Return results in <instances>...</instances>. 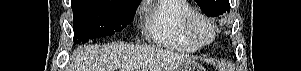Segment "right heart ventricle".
I'll list each match as a JSON object with an SVG mask.
<instances>
[{"label":"right heart ventricle","mask_w":301,"mask_h":71,"mask_svg":"<svg viewBox=\"0 0 301 71\" xmlns=\"http://www.w3.org/2000/svg\"><path fill=\"white\" fill-rule=\"evenodd\" d=\"M184 0H158L149 5L144 17V31L147 38L165 48L195 52L200 46L187 34L185 21L193 12Z\"/></svg>","instance_id":"right-heart-ventricle-1"}]
</instances>
